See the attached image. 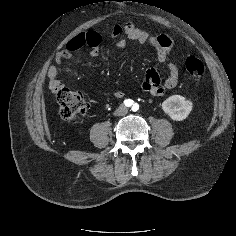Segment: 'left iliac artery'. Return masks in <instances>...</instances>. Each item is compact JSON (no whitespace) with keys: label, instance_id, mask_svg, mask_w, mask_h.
<instances>
[{"label":"left iliac artery","instance_id":"obj_1","mask_svg":"<svg viewBox=\"0 0 236 236\" xmlns=\"http://www.w3.org/2000/svg\"><path fill=\"white\" fill-rule=\"evenodd\" d=\"M139 109V105L138 104H134L132 107L133 111H137Z\"/></svg>","mask_w":236,"mask_h":236}]
</instances>
